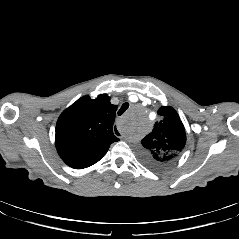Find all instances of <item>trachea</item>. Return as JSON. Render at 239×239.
I'll list each match as a JSON object with an SVG mask.
<instances>
[{"instance_id":"obj_1","label":"trachea","mask_w":239,"mask_h":239,"mask_svg":"<svg viewBox=\"0 0 239 239\" xmlns=\"http://www.w3.org/2000/svg\"><path fill=\"white\" fill-rule=\"evenodd\" d=\"M129 107L128 103H124L118 111V115H122Z\"/></svg>"}]
</instances>
